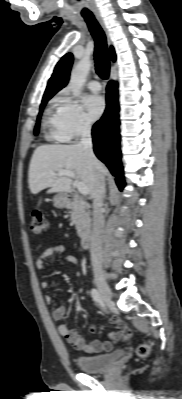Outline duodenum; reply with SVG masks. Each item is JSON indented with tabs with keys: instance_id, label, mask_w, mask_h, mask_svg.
I'll return each mask as SVG.
<instances>
[{
	"instance_id": "410a0bca",
	"label": "duodenum",
	"mask_w": 182,
	"mask_h": 399,
	"mask_svg": "<svg viewBox=\"0 0 182 399\" xmlns=\"http://www.w3.org/2000/svg\"><path fill=\"white\" fill-rule=\"evenodd\" d=\"M72 200H73V195L72 194L68 195V197H67L68 203L72 202ZM91 241H92L91 233L90 232L83 233V235H82V246L84 248H89L91 246Z\"/></svg>"
}]
</instances>
